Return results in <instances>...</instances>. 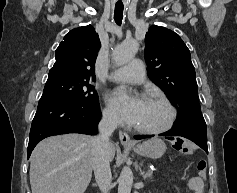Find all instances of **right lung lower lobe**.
<instances>
[{
  "mask_svg": "<svg viewBox=\"0 0 237 193\" xmlns=\"http://www.w3.org/2000/svg\"><path fill=\"white\" fill-rule=\"evenodd\" d=\"M101 119L100 106L76 107L54 99H40L34 116L28 144V158L42 139L59 134L94 135Z\"/></svg>",
  "mask_w": 237,
  "mask_h": 193,
  "instance_id": "obj_1",
  "label": "right lung lower lobe"
}]
</instances>
